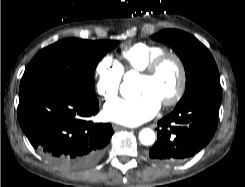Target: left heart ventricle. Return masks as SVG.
<instances>
[{
  "label": "left heart ventricle",
  "mask_w": 245,
  "mask_h": 187,
  "mask_svg": "<svg viewBox=\"0 0 245 187\" xmlns=\"http://www.w3.org/2000/svg\"><path fill=\"white\" fill-rule=\"evenodd\" d=\"M179 83V70L177 65L168 60L161 65L152 77H140L139 93L151 92L162 103L172 96Z\"/></svg>",
  "instance_id": "1"
}]
</instances>
